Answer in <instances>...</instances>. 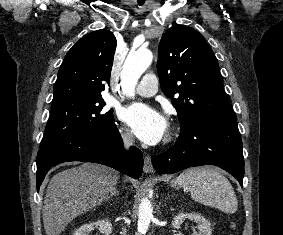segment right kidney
<instances>
[{
  "label": "right kidney",
  "instance_id": "right-kidney-1",
  "mask_svg": "<svg viewBox=\"0 0 283 235\" xmlns=\"http://www.w3.org/2000/svg\"><path fill=\"white\" fill-rule=\"evenodd\" d=\"M94 227H99L103 235H110L112 233V224L108 220H98L94 223H89L78 228L73 235H89Z\"/></svg>",
  "mask_w": 283,
  "mask_h": 235
}]
</instances>
